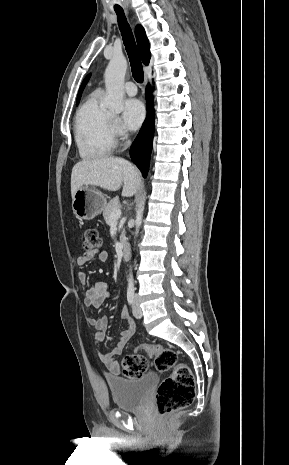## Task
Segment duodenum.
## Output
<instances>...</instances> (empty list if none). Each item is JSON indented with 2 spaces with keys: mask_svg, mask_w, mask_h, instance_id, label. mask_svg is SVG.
Wrapping results in <instances>:
<instances>
[{
  "mask_svg": "<svg viewBox=\"0 0 289 465\" xmlns=\"http://www.w3.org/2000/svg\"><path fill=\"white\" fill-rule=\"evenodd\" d=\"M121 258L124 261L129 260L130 258V247L128 245L123 246L121 250Z\"/></svg>",
  "mask_w": 289,
  "mask_h": 465,
  "instance_id": "1",
  "label": "duodenum"
}]
</instances>
